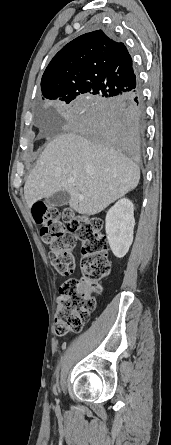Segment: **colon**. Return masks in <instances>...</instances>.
Wrapping results in <instances>:
<instances>
[{"mask_svg":"<svg viewBox=\"0 0 171 445\" xmlns=\"http://www.w3.org/2000/svg\"><path fill=\"white\" fill-rule=\"evenodd\" d=\"M33 217L41 226V239L49 245V259L62 275H71L75 268L73 250L79 244L81 271L78 278H69L59 289L55 317V333L64 336L79 332L96 306L94 294L101 291L100 280L110 271L108 244L101 218L76 215L71 210L59 211L43 204L34 206Z\"/></svg>","mask_w":171,"mask_h":445,"instance_id":"1","label":"colon"}]
</instances>
